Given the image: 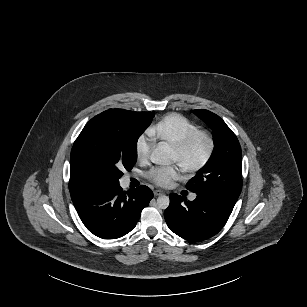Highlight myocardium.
Instances as JSON below:
<instances>
[{
	"label": "myocardium",
	"instance_id": "obj_1",
	"mask_svg": "<svg viewBox=\"0 0 307 307\" xmlns=\"http://www.w3.org/2000/svg\"><path fill=\"white\" fill-rule=\"evenodd\" d=\"M198 144L203 145L201 157L194 163L181 164L184 169L196 173L203 169L212 158L215 151V139L205 132H198L180 145L172 146L171 150L181 158H186L189 152Z\"/></svg>",
	"mask_w": 307,
	"mask_h": 307
}]
</instances>
